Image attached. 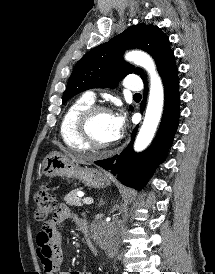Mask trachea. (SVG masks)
I'll return each instance as SVG.
<instances>
[{
  "mask_svg": "<svg viewBox=\"0 0 215 274\" xmlns=\"http://www.w3.org/2000/svg\"><path fill=\"white\" fill-rule=\"evenodd\" d=\"M134 97H135V98H139V97H141V94H140V93H136V94L134 95Z\"/></svg>",
  "mask_w": 215,
  "mask_h": 274,
  "instance_id": "trachea-1",
  "label": "trachea"
}]
</instances>
